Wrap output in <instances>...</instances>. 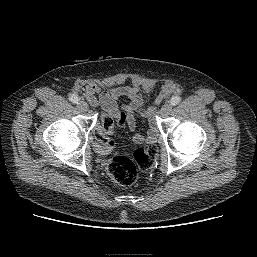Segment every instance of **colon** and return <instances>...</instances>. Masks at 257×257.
Masks as SVG:
<instances>
[{"label":"colon","mask_w":257,"mask_h":257,"mask_svg":"<svg viewBox=\"0 0 257 257\" xmlns=\"http://www.w3.org/2000/svg\"><path fill=\"white\" fill-rule=\"evenodd\" d=\"M125 123V117L119 116L113 118L105 115L101 118L98 127L94 130L97 140L96 148L102 153L110 152L115 143L111 139V134ZM157 157V148L154 145L141 147L135 150L133 159L116 155L107 166L109 176L121 186H131L137 179V167L148 169L155 163Z\"/></svg>","instance_id":"obj_1"}]
</instances>
